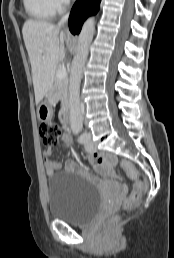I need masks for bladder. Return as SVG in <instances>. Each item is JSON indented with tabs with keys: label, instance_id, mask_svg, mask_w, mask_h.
I'll use <instances>...</instances> for the list:
<instances>
[{
	"label": "bladder",
	"instance_id": "31cf9c89",
	"mask_svg": "<svg viewBox=\"0 0 174 258\" xmlns=\"http://www.w3.org/2000/svg\"><path fill=\"white\" fill-rule=\"evenodd\" d=\"M48 184L49 214L74 225H84L98 216L102 197L84 174L61 172Z\"/></svg>",
	"mask_w": 174,
	"mask_h": 258
}]
</instances>
